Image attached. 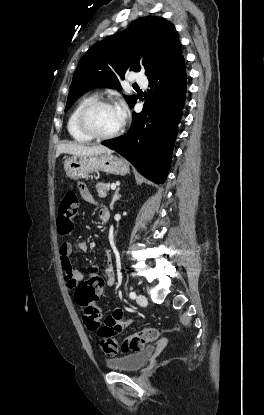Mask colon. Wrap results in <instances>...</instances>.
<instances>
[{
    "label": "colon",
    "instance_id": "obj_1",
    "mask_svg": "<svg viewBox=\"0 0 264 415\" xmlns=\"http://www.w3.org/2000/svg\"><path fill=\"white\" fill-rule=\"evenodd\" d=\"M79 201L73 191L67 192L58 210V231L63 237H70L75 231V217L78 213ZM101 280L91 276L77 288L75 300L81 308V314L88 330L97 332L101 350L106 355H116L118 352H136L149 342L158 338V331L145 327L120 342L113 338L103 325V314L97 305Z\"/></svg>",
    "mask_w": 264,
    "mask_h": 415
}]
</instances>
